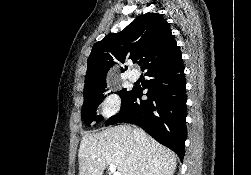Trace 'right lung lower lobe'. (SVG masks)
Returning a JSON list of instances; mask_svg holds the SVG:
<instances>
[{"label":"right lung lower lobe","instance_id":"obj_1","mask_svg":"<svg viewBox=\"0 0 251 175\" xmlns=\"http://www.w3.org/2000/svg\"><path fill=\"white\" fill-rule=\"evenodd\" d=\"M151 77L144 88L148 99L142 100V88L134 87L122 97L121 112L106 125L132 123L143 128L159 143L173 150L183 160L187 138L186 90L182 57L146 72Z\"/></svg>","mask_w":251,"mask_h":175}]
</instances>
